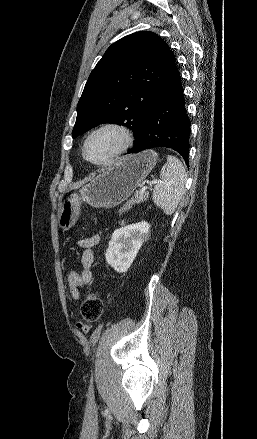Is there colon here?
<instances>
[{"label":"colon","instance_id":"obj_1","mask_svg":"<svg viewBox=\"0 0 257 439\" xmlns=\"http://www.w3.org/2000/svg\"><path fill=\"white\" fill-rule=\"evenodd\" d=\"M67 279L69 286L76 287L80 284V273L71 271L68 273ZM80 312L86 322H96L103 313V302L101 298L96 293L87 294L82 302Z\"/></svg>","mask_w":257,"mask_h":439}]
</instances>
